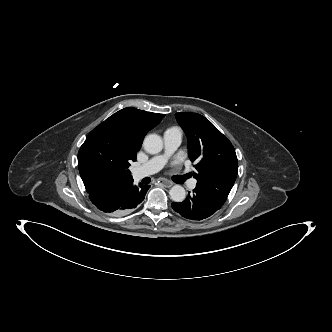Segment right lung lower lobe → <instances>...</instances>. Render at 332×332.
I'll list each match as a JSON object with an SVG mask.
<instances>
[{
  "label": "right lung lower lobe",
  "instance_id": "obj_1",
  "mask_svg": "<svg viewBox=\"0 0 332 332\" xmlns=\"http://www.w3.org/2000/svg\"><path fill=\"white\" fill-rule=\"evenodd\" d=\"M150 185H133V179L95 189L89 193L91 202L101 211L123 215L133 211L144 200Z\"/></svg>",
  "mask_w": 332,
  "mask_h": 332
}]
</instances>
